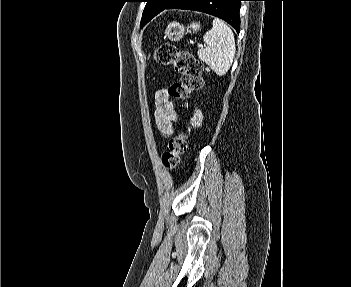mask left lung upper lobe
I'll return each mask as SVG.
<instances>
[{
  "label": "left lung upper lobe",
  "instance_id": "5c2ea615",
  "mask_svg": "<svg viewBox=\"0 0 351 287\" xmlns=\"http://www.w3.org/2000/svg\"><path fill=\"white\" fill-rule=\"evenodd\" d=\"M147 2L142 20L141 27H143L147 22H149L158 13L163 11L167 6H169L174 0H145Z\"/></svg>",
  "mask_w": 351,
  "mask_h": 287
}]
</instances>
